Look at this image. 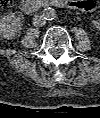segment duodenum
Instances as JSON below:
<instances>
[{
    "label": "duodenum",
    "instance_id": "410a0bca",
    "mask_svg": "<svg viewBox=\"0 0 100 118\" xmlns=\"http://www.w3.org/2000/svg\"><path fill=\"white\" fill-rule=\"evenodd\" d=\"M67 0H24L21 9L24 13H33L41 8L48 7H67Z\"/></svg>",
    "mask_w": 100,
    "mask_h": 118
}]
</instances>
